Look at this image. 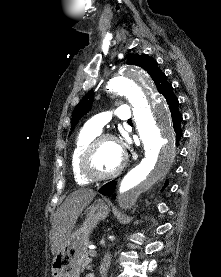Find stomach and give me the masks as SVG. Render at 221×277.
<instances>
[{"instance_id":"0dacf381","label":"stomach","mask_w":221,"mask_h":277,"mask_svg":"<svg viewBox=\"0 0 221 277\" xmlns=\"http://www.w3.org/2000/svg\"><path fill=\"white\" fill-rule=\"evenodd\" d=\"M109 214L102 200H95L87 209L83 224L76 228L53 258L52 277H79L86 258L89 236L96 225Z\"/></svg>"}]
</instances>
